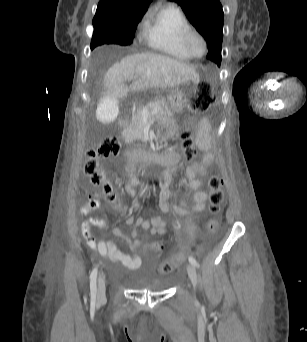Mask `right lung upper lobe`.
Returning <instances> with one entry per match:
<instances>
[{
	"label": "right lung upper lobe",
	"instance_id": "right-lung-upper-lobe-1",
	"mask_svg": "<svg viewBox=\"0 0 307 342\" xmlns=\"http://www.w3.org/2000/svg\"><path fill=\"white\" fill-rule=\"evenodd\" d=\"M152 0H101L93 18L94 29L134 32Z\"/></svg>",
	"mask_w": 307,
	"mask_h": 342
}]
</instances>
